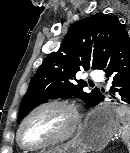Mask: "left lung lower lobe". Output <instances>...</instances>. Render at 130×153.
I'll list each match as a JSON object with an SVG mask.
<instances>
[{
	"instance_id": "1",
	"label": "left lung lower lobe",
	"mask_w": 130,
	"mask_h": 153,
	"mask_svg": "<svg viewBox=\"0 0 130 153\" xmlns=\"http://www.w3.org/2000/svg\"><path fill=\"white\" fill-rule=\"evenodd\" d=\"M101 70L112 84L108 94L112 102L130 104V38L126 30L114 40ZM103 100L101 94L92 107Z\"/></svg>"
}]
</instances>
